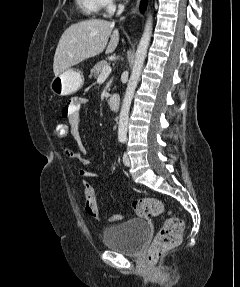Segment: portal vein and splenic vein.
Segmentation results:
<instances>
[{
	"label": "portal vein and splenic vein",
	"instance_id": "1",
	"mask_svg": "<svg viewBox=\"0 0 240 287\" xmlns=\"http://www.w3.org/2000/svg\"><path fill=\"white\" fill-rule=\"evenodd\" d=\"M111 73V67L109 65H106L101 74H100V77H104V76H108L109 74Z\"/></svg>",
	"mask_w": 240,
	"mask_h": 287
}]
</instances>
